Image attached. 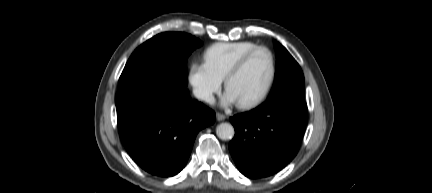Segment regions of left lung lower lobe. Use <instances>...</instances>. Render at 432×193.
<instances>
[{"mask_svg": "<svg viewBox=\"0 0 432 193\" xmlns=\"http://www.w3.org/2000/svg\"><path fill=\"white\" fill-rule=\"evenodd\" d=\"M235 136L229 144L236 166L249 178L270 176L297 154L307 121L304 100L274 98L230 118Z\"/></svg>", "mask_w": 432, "mask_h": 193, "instance_id": "0a47b994", "label": "left lung lower lobe"}]
</instances>
